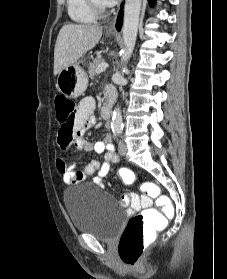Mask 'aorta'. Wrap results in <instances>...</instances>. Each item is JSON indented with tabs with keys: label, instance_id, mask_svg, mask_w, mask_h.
<instances>
[{
	"label": "aorta",
	"instance_id": "obj_1",
	"mask_svg": "<svg viewBox=\"0 0 227 279\" xmlns=\"http://www.w3.org/2000/svg\"><path fill=\"white\" fill-rule=\"evenodd\" d=\"M141 5L142 0H125L122 28L124 50L121 56L124 69L126 68V63L130 59L136 43ZM111 126L113 129L122 128V115L119 107L115 108L113 112Z\"/></svg>",
	"mask_w": 227,
	"mask_h": 279
}]
</instances>
